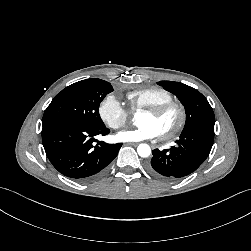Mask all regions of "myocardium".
<instances>
[{
	"mask_svg": "<svg viewBox=\"0 0 251 251\" xmlns=\"http://www.w3.org/2000/svg\"><path fill=\"white\" fill-rule=\"evenodd\" d=\"M175 110L178 113L177 123L168 131L159 133L160 137L168 140L177 136L186 124L187 114L185 107L178 101L172 100L157 106L145 108L144 112L149 113L155 117L164 115L165 113Z\"/></svg>",
	"mask_w": 251,
	"mask_h": 251,
	"instance_id": "1",
	"label": "myocardium"
}]
</instances>
